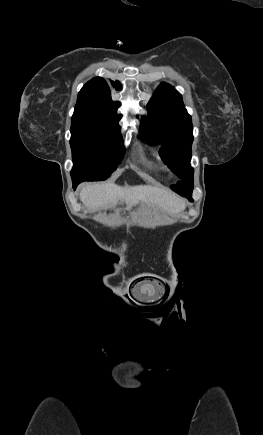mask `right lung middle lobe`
<instances>
[{"mask_svg":"<svg viewBox=\"0 0 263 435\" xmlns=\"http://www.w3.org/2000/svg\"><path fill=\"white\" fill-rule=\"evenodd\" d=\"M70 145L73 181L107 179L125 153L119 129L79 119H72Z\"/></svg>","mask_w":263,"mask_h":435,"instance_id":"right-lung-middle-lobe-1","label":"right lung middle lobe"}]
</instances>
